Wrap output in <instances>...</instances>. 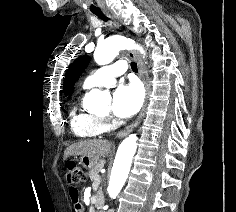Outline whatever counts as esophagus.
Returning a JSON list of instances; mask_svg holds the SVG:
<instances>
[{"label":"esophagus","instance_id":"obj_1","mask_svg":"<svg viewBox=\"0 0 236 212\" xmlns=\"http://www.w3.org/2000/svg\"><path fill=\"white\" fill-rule=\"evenodd\" d=\"M115 24L117 27H119V24L117 22H115ZM128 55L131 59L136 61L137 65H138L139 74H140L142 81L144 82L146 94H145V101H144L143 107H142L138 117L136 118V120L132 124L125 127L123 130L119 131L116 135L117 138L125 137L140 124V122L145 114V111H146L147 99H148V94H149V86H148L145 70H144L143 63H142L141 59L138 57V55L134 51H129Z\"/></svg>","mask_w":236,"mask_h":212}]
</instances>
